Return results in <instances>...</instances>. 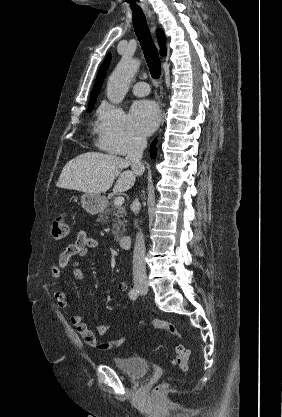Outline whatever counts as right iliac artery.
Returning <instances> with one entry per match:
<instances>
[{
  "mask_svg": "<svg viewBox=\"0 0 282 417\" xmlns=\"http://www.w3.org/2000/svg\"><path fill=\"white\" fill-rule=\"evenodd\" d=\"M129 298L131 299V300H136L137 299V297H138V295H139V291H138V289H136V288H132L130 291H129Z\"/></svg>",
  "mask_w": 282,
  "mask_h": 417,
  "instance_id": "obj_1",
  "label": "right iliac artery"
}]
</instances>
